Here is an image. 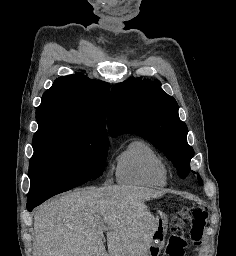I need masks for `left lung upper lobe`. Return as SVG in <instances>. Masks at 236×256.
Returning <instances> with one entry per match:
<instances>
[{
    "label": "left lung upper lobe",
    "instance_id": "left-lung-upper-lobe-1",
    "mask_svg": "<svg viewBox=\"0 0 236 256\" xmlns=\"http://www.w3.org/2000/svg\"><path fill=\"white\" fill-rule=\"evenodd\" d=\"M108 128L115 137L135 133L151 142L172 161L181 178L190 172L194 151L187 143V126L178 104L157 80L132 78L114 85L108 104ZM199 185H203L198 176Z\"/></svg>",
    "mask_w": 236,
    "mask_h": 256
}]
</instances>
